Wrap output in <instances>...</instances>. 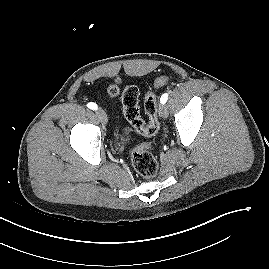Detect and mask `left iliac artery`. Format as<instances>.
Segmentation results:
<instances>
[{"label":"left iliac artery","instance_id":"44dca946","mask_svg":"<svg viewBox=\"0 0 269 269\" xmlns=\"http://www.w3.org/2000/svg\"><path fill=\"white\" fill-rule=\"evenodd\" d=\"M168 100V94L167 93H164L161 98H160V102L162 104H164L166 101Z\"/></svg>","mask_w":269,"mask_h":269}]
</instances>
